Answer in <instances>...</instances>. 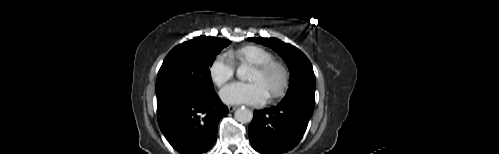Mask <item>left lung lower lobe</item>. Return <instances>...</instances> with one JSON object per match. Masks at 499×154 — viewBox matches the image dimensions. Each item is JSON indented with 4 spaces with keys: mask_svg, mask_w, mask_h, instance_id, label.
<instances>
[{
    "mask_svg": "<svg viewBox=\"0 0 499 154\" xmlns=\"http://www.w3.org/2000/svg\"><path fill=\"white\" fill-rule=\"evenodd\" d=\"M315 106V91L287 93L275 107L254 111L249 125L252 147L263 154L293 149L303 137Z\"/></svg>",
    "mask_w": 499,
    "mask_h": 154,
    "instance_id": "0a47b994",
    "label": "left lung lower lobe"
}]
</instances>
